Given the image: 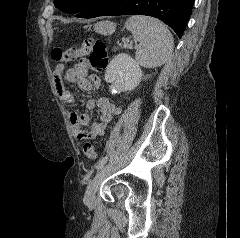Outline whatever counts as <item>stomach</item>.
Here are the masks:
<instances>
[{
    "label": "stomach",
    "mask_w": 240,
    "mask_h": 238,
    "mask_svg": "<svg viewBox=\"0 0 240 238\" xmlns=\"http://www.w3.org/2000/svg\"><path fill=\"white\" fill-rule=\"evenodd\" d=\"M115 29L116 26L111 21H100L94 25V30L102 35H111Z\"/></svg>",
    "instance_id": "0dacf381"
}]
</instances>
